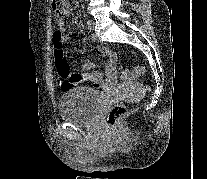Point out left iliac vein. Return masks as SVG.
Here are the masks:
<instances>
[{"label":"left iliac vein","mask_w":207,"mask_h":179,"mask_svg":"<svg viewBox=\"0 0 207 179\" xmlns=\"http://www.w3.org/2000/svg\"><path fill=\"white\" fill-rule=\"evenodd\" d=\"M94 27H95V24H93L92 21H89V25H88L89 30H93ZM94 36L97 37V34H95Z\"/></svg>","instance_id":"left-iliac-vein-1"}]
</instances>
